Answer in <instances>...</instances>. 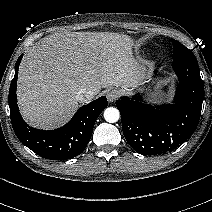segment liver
Instances as JSON below:
<instances>
[{
  "mask_svg": "<svg viewBox=\"0 0 212 212\" xmlns=\"http://www.w3.org/2000/svg\"><path fill=\"white\" fill-rule=\"evenodd\" d=\"M132 40L117 33L65 32L42 38L23 59L17 97L23 118L52 129L78 109L82 88L97 95L102 88L134 87Z\"/></svg>",
  "mask_w": 212,
  "mask_h": 212,
  "instance_id": "liver-1",
  "label": "liver"
}]
</instances>
